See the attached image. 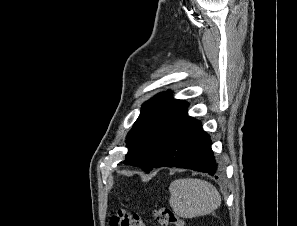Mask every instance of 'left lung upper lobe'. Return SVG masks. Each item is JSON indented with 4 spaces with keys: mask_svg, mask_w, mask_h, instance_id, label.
Listing matches in <instances>:
<instances>
[{
    "mask_svg": "<svg viewBox=\"0 0 297 226\" xmlns=\"http://www.w3.org/2000/svg\"><path fill=\"white\" fill-rule=\"evenodd\" d=\"M187 107L185 101L173 99L170 92L158 94L145 102L127 135L128 153L124 163L151 171L189 117Z\"/></svg>",
    "mask_w": 297,
    "mask_h": 226,
    "instance_id": "obj_1",
    "label": "left lung upper lobe"
}]
</instances>
